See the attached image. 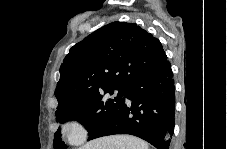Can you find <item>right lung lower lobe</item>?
Instances as JSON below:
<instances>
[{"label": "right lung lower lobe", "mask_w": 227, "mask_h": 149, "mask_svg": "<svg viewBox=\"0 0 227 149\" xmlns=\"http://www.w3.org/2000/svg\"><path fill=\"white\" fill-rule=\"evenodd\" d=\"M131 104L122 106L95 128L88 140L113 134L140 137L157 149H169L174 132L175 87L169 61L125 88Z\"/></svg>", "instance_id": "obj_1"}]
</instances>
